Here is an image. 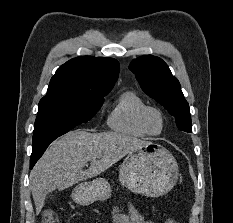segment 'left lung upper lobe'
Listing matches in <instances>:
<instances>
[{
    "instance_id": "obj_1",
    "label": "left lung upper lobe",
    "mask_w": 233,
    "mask_h": 223,
    "mask_svg": "<svg viewBox=\"0 0 233 223\" xmlns=\"http://www.w3.org/2000/svg\"><path fill=\"white\" fill-rule=\"evenodd\" d=\"M129 69L135 74L142 90L164 106L176 118L177 127L191 130V116L178 80L172 76L167 64L160 58L144 55L133 60Z\"/></svg>"
}]
</instances>
